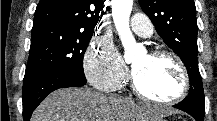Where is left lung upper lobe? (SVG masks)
Masks as SVG:
<instances>
[{"instance_id":"1","label":"left lung upper lobe","mask_w":217,"mask_h":121,"mask_svg":"<svg viewBox=\"0 0 217 121\" xmlns=\"http://www.w3.org/2000/svg\"><path fill=\"white\" fill-rule=\"evenodd\" d=\"M156 31L184 62L190 79L189 95L205 111L202 78L197 64L196 8L193 0H138Z\"/></svg>"}]
</instances>
